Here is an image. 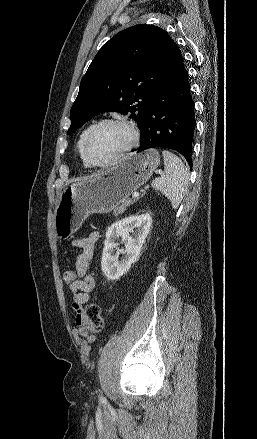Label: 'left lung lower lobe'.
Returning <instances> with one entry per match:
<instances>
[{"mask_svg":"<svg viewBox=\"0 0 257 439\" xmlns=\"http://www.w3.org/2000/svg\"><path fill=\"white\" fill-rule=\"evenodd\" d=\"M195 126L187 71L178 50L140 125V146L132 152L155 147L169 148L181 153L191 167Z\"/></svg>","mask_w":257,"mask_h":439,"instance_id":"1","label":"left lung lower lobe"}]
</instances>
